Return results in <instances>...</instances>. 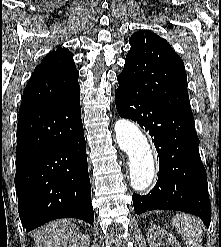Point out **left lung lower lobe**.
<instances>
[{"mask_svg":"<svg viewBox=\"0 0 221 247\" xmlns=\"http://www.w3.org/2000/svg\"><path fill=\"white\" fill-rule=\"evenodd\" d=\"M115 90L118 114L137 122L152 137L158 152L159 176L147 195L133 194L136 214L178 210L199 216L209 227L211 206L193 115L184 114L135 94L121 75Z\"/></svg>","mask_w":221,"mask_h":247,"instance_id":"left-lung-lower-lobe-1","label":"left lung lower lobe"}]
</instances>
